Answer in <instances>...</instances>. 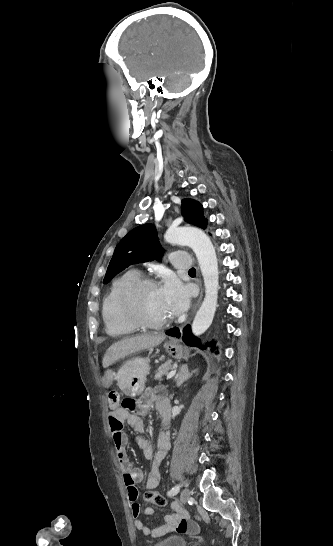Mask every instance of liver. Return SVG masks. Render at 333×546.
Wrapping results in <instances>:
<instances>
[{
	"instance_id": "obj_1",
	"label": "liver",
	"mask_w": 333,
	"mask_h": 546,
	"mask_svg": "<svg viewBox=\"0 0 333 546\" xmlns=\"http://www.w3.org/2000/svg\"><path fill=\"white\" fill-rule=\"evenodd\" d=\"M165 338L166 336L164 334H157L140 335L122 339L107 349L102 361L103 367L106 368L119 359L134 352L156 347L161 344Z\"/></svg>"
}]
</instances>
